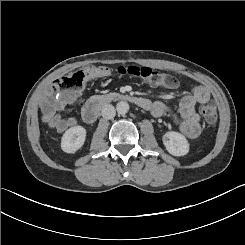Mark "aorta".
<instances>
[{
    "label": "aorta",
    "instance_id": "aorta-1",
    "mask_svg": "<svg viewBox=\"0 0 245 245\" xmlns=\"http://www.w3.org/2000/svg\"><path fill=\"white\" fill-rule=\"evenodd\" d=\"M116 110L121 115L126 114L129 111V104L126 101H120L116 105Z\"/></svg>",
    "mask_w": 245,
    "mask_h": 245
}]
</instances>
